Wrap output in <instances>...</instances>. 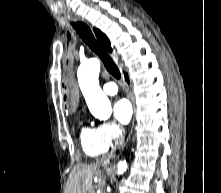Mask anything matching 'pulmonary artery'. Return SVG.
Instances as JSON below:
<instances>
[{
    "label": "pulmonary artery",
    "instance_id": "obj_1",
    "mask_svg": "<svg viewBox=\"0 0 221 193\" xmlns=\"http://www.w3.org/2000/svg\"><path fill=\"white\" fill-rule=\"evenodd\" d=\"M103 90L108 95H114L118 92V87L114 82H108L104 84Z\"/></svg>",
    "mask_w": 221,
    "mask_h": 193
}]
</instances>
